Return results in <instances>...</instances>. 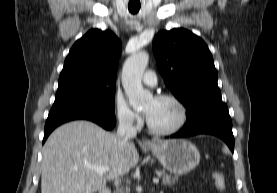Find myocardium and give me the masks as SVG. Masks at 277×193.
Returning <instances> with one entry per match:
<instances>
[{"mask_svg": "<svg viewBox=\"0 0 277 193\" xmlns=\"http://www.w3.org/2000/svg\"><path fill=\"white\" fill-rule=\"evenodd\" d=\"M154 98L157 100H169L175 103L180 110V119L175 126L169 129H157L151 125L148 119H146L148 131L157 136H170L180 131L185 126L188 119V111L185 104L177 96L169 93L158 94Z\"/></svg>", "mask_w": 277, "mask_h": 193, "instance_id": "f54148a6", "label": "myocardium"}]
</instances>
